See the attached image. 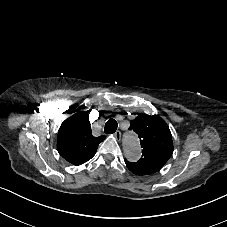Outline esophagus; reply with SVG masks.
Instances as JSON below:
<instances>
[{"instance_id":"obj_1","label":"esophagus","mask_w":227,"mask_h":227,"mask_svg":"<svg viewBox=\"0 0 227 227\" xmlns=\"http://www.w3.org/2000/svg\"><path fill=\"white\" fill-rule=\"evenodd\" d=\"M114 136H115V138H116L117 141H120L121 140V132L120 131H116L114 133Z\"/></svg>"}]
</instances>
